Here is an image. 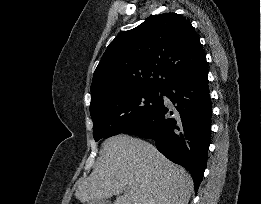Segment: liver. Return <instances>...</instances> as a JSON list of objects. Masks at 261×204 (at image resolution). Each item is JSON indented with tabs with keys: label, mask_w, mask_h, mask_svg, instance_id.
Listing matches in <instances>:
<instances>
[{
	"label": "liver",
	"mask_w": 261,
	"mask_h": 204,
	"mask_svg": "<svg viewBox=\"0 0 261 204\" xmlns=\"http://www.w3.org/2000/svg\"><path fill=\"white\" fill-rule=\"evenodd\" d=\"M192 190L185 169L152 144L120 134L103 142L99 162L75 196L81 202L115 195L114 204H188Z\"/></svg>",
	"instance_id": "6515ba94"
}]
</instances>
